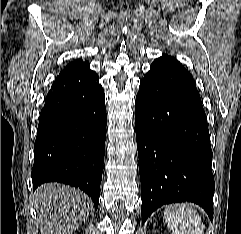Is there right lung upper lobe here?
Listing matches in <instances>:
<instances>
[{"instance_id":"obj_1","label":"right lung upper lobe","mask_w":241,"mask_h":234,"mask_svg":"<svg viewBox=\"0 0 241 234\" xmlns=\"http://www.w3.org/2000/svg\"><path fill=\"white\" fill-rule=\"evenodd\" d=\"M87 63L86 61H83V60H75L73 62H70L64 69L63 71H61L60 74H63V73H66V72H69L75 68H78L79 66L83 65Z\"/></svg>"}]
</instances>
